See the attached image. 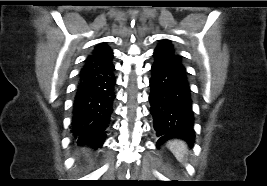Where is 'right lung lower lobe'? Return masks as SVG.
Returning <instances> with one entry per match:
<instances>
[{
    "label": "right lung lower lobe",
    "mask_w": 267,
    "mask_h": 186,
    "mask_svg": "<svg viewBox=\"0 0 267 186\" xmlns=\"http://www.w3.org/2000/svg\"><path fill=\"white\" fill-rule=\"evenodd\" d=\"M115 67L112 61L82 69L72 106L71 132L79 144L101 147L110 123L115 99Z\"/></svg>",
    "instance_id": "obj_1"
}]
</instances>
